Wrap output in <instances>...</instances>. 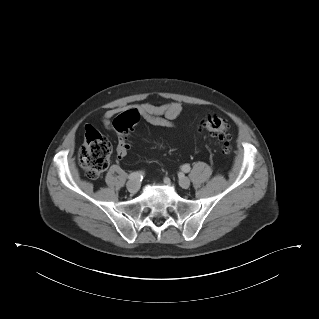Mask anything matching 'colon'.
I'll list each match as a JSON object with an SVG mask.
<instances>
[{
  "mask_svg": "<svg viewBox=\"0 0 319 319\" xmlns=\"http://www.w3.org/2000/svg\"><path fill=\"white\" fill-rule=\"evenodd\" d=\"M139 120V112L131 109L116 117L113 127L119 133L120 139L127 140L129 133ZM200 128L223 144L224 153L230 152V127L225 119L209 114L202 119ZM110 154L111 144L108 139L97 130L88 128L79 151V161L90 178L98 179L102 176L108 166Z\"/></svg>",
  "mask_w": 319,
  "mask_h": 319,
  "instance_id": "colon-1",
  "label": "colon"
}]
</instances>
